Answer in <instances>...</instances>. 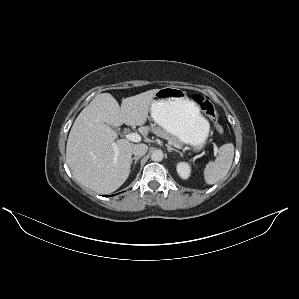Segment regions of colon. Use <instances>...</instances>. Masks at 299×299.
I'll use <instances>...</instances> for the list:
<instances>
[{"instance_id": "1", "label": "colon", "mask_w": 299, "mask_h": 299, "mask_svg": "<svg viewBox=\"0 0 299 299\" xmlns=\"http://www.w3.org/2000/svg\"><path fill=\"white\" fill-rule=\"evenodd\" d=\"M195 104L207 115V117L213 122L216 130L219 133H223L224 129L219 122V117L214 105L203 95L194 94L192 97Z\"/></svg>"}]
</instances>
